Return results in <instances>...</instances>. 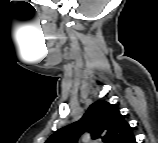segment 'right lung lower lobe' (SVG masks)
<instances>
[{"label": "right lung lower lobe", "mask_w": 158, "mask_h": 143, "mask_svg": "<svg viewBox=\"0 0 158 143\" xmlns=\"http://www.w3.org/2000/svg\"><path fill=\"white\" fill-rule=\"evenodd\" d=\"M130 143H135V138Z\"/></svg>", "instance_id": "obj_1"}]
</instances>
